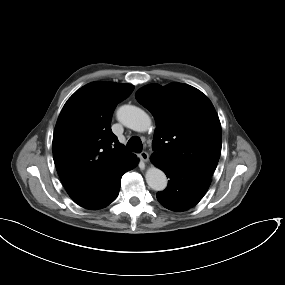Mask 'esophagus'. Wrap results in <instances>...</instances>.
Returning a JSON list of instances; mask_svg holds the SVG:
<instances>
[{
  "instance_id": "1",
  "label": "esophagus",
  "mask_w": 285,
  "mask_h": 285,
  "mask_svg": "<svg viewBox=\"0 0 285 285\" xmlns=\"http://www.w3.org/2000/svg\"><path fill=\"white\" fill-rule=\"evenodd\" d=\"M139 158L143 161V162H148L149 160V154L145 151H142L138 154Z\"/></svg>"
}]
</instances>
